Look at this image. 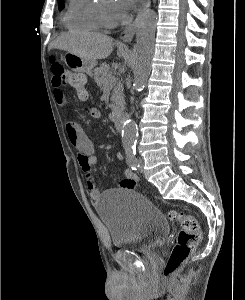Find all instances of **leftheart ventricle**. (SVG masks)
<instances>
[{"instance_id":"1","label":"left heart ventricle","mask_w":245,"mask_h":300,"mask_svg":"<svg viewBox=\"0 0 245 300\" xmlns=\"http://www.w3.org/2000/svg\"><path fill=\"white\" fill-rule=\"evenodd\" d=\"M105 6L111 13L115 14V8H114V5L112 2H107V4Z\"/></svg>"}]
</instances>
